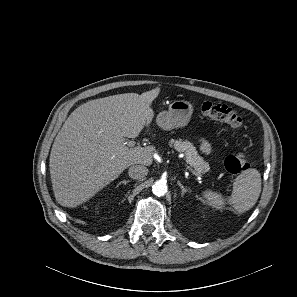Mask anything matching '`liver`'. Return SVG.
Returning a JSON list of instances; mask_svg holds the SVG:
<instances>
[{
	"label": "liver",
	"mask_w": 297,
	"mask_h": 297,
	"mask_svg": "<svg viewBox=\"0 0 297 297\" xmlns=\"http://www.w3.org/2000/svg\"><path fill=\"white\" fill-rule=\"evenodd\" d=\"M160 87L141 95L125 93L88 101L76 108L52 145L49 167L56 201L76 207L115 180L127 167L149 166L155 148L126 147L154 117Z\"/></svg>",
	"instance_id": "liver-1"
}]
</instances>
